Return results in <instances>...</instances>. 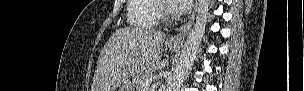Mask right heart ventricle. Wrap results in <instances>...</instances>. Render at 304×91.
<instances>
[{
    "label": "right heart ventricle",
    "instance_id": "e07e8e85",
    "mask_svg": "<svg viewBox=\"0 0 304 91\" xmlns=\"http://www.w3.org/2000/svg\"><path fill=\"white\" fill-rule=\"evenodd\" d=\"M157 0H129L127 8L128 22L137 28H154L158 24Z\"/></svg>",
    "mask_w": 304,
    "mask_h": 91
}]
</instances>
